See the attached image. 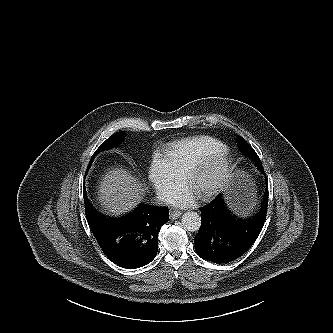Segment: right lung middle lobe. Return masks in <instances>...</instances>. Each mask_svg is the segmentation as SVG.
<instances>
[{"label": "right lung middle lobe", "instance_id": "right-lung-middle-lobe-1", "mask_svg": "<svg viewBox=\"0 0 333 333\" xmlns=\"http://www.w3.org/2000/svg\"><path fill=\"white\" fill-rule=\"evenodd\" d=\"M122 137V133L118 132V133H115L113 134L112 136H110L105 142H103L100 147L96 150V152L93 154L91 160H90V163H89V166L90 164L92 163L94 157L101 151H104V150H108V149H111L112 147H114L115 145H117V143L119 142V140L121 139Z\"/></svg>", "mask_w": 333, "mask_h": 333}]
</instances>
